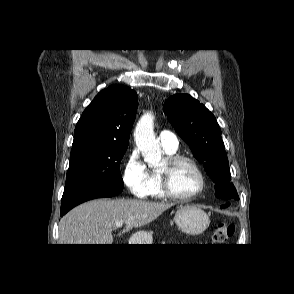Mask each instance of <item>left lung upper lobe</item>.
<instances>
[{"label": "left lung upper lobe", "instance_id": "obj_1", "mask_svg": "<svg viewBox=\"0 0 294 294\" xmlns=\"http://www.w3.org/2000/svg\"><path fill=\"white\" fill-rule=\"evenodd\" d=\"M163 110L195 158L204 163L205 171L216 185V197L239 200L231 182L221 129L214 115L188 94L171 96L165 101Z\"/></svg>", "mask_w": 294, "mask_h": 294}]
</instances>
